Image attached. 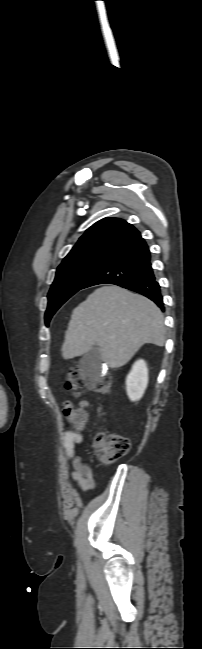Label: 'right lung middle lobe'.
<instances>
[{"label": "right lung middle lobe", "instance_id": "obj_1", "mask_svg": "<svg viewBox=\"0 0 202 649\" xmlns=\"http://www.w3.org/2000/svg\"><path fill=\"white\" fill-rule=\"evenodd\" d=\"M113 256L114 254L108 252H88L67 257L62 261L48 294L46 325L58 308L82 289L88 279Z\"/></svg>", "mask_w": 202, "mask_h": 649}]
</instances>
